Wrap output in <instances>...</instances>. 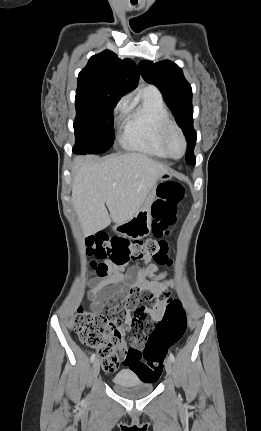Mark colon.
I'll return each instance as SVG.
<instances>
[{
    "label": "colon",
    "instance_id": "colon-1",
    "mask_svg": "<svg viewBox=\"0 0 261 431\" xmlns=\"http://www.w3.org/2000/svg\"><path fill=\"white\" fill-rule=\"evenodd\" d=\"M184 198L183 187L176 182L167 181L158 186L157 198L152 205V232L154 238L145 241H130L127 238L106 234L89 236L86 240L87 252L98 260L108 259L115 266H124L130 261L152 258L157 264H170L168 248L163 236L169 233L176 220L177 207ZM98 276L107 273L105 263H93ZM165 305L163 318L154 325V333L149 336L143 350L129 348L125 354L126 369H132L140 383L154 386L162 379V367L167 350L176 345L184 336L187 328L185 310L180 301L172 299L169 292L162 295ZM148 316V315H147ZM131 320L132 317L130 316ZM121 318H108L79 308L73 327L81 341L97 348L103 367L114 371L119 364V355L125 351L126 341L118 326ZM144 361H143V360Z\"/></svg>",
    "mask_w": 261,
    "mask_h": 431
}]
</instances>
